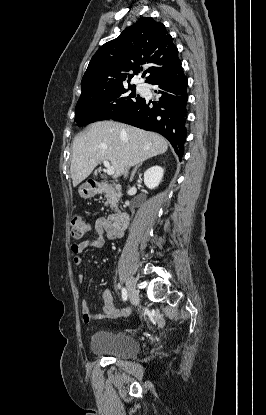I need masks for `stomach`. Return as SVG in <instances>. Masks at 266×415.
Instances as JSON below:
<instances>
[{
	"mask_svg": "<svg viewBox=\"0 0 266 415\" xmlns=\"http://www.w3.org/2000/svg\"><path fill=\"white\" fill-rule=\"evenodd\" d=\"M79 195L84 199L92 198L96 194V189L89 183H84L79 187Z\"/></svg>",
	"mask_w": 266,
	"mask_h": 415,
	"instance_id": "obj_1",
	"label": "stomach"
}]
</instances>
